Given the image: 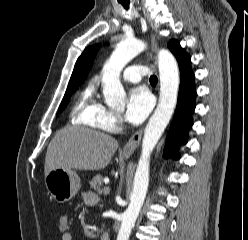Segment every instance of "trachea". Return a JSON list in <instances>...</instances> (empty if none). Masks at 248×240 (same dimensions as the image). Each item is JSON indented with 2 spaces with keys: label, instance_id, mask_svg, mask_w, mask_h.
Masks as SVG:
<instances>
[{
  "label": "trachea",
  "instance_id": "obj_1",
  "mask_svg": "<svg viewBox=\"0 0 248 240\" xmlns=\"http://www.w3.org/2000/svg\"><path fill=\"white\" fill-rule=\"evenodd\" d=\"M119 3L126 9L128 10L129 8V1L128 0H119ZM158 82V78L155 75H152L150 77V83L151 84H156Z\"/></svg>",
  "mask_w": 248,
  "mask_h": 240
}]
</instances>
